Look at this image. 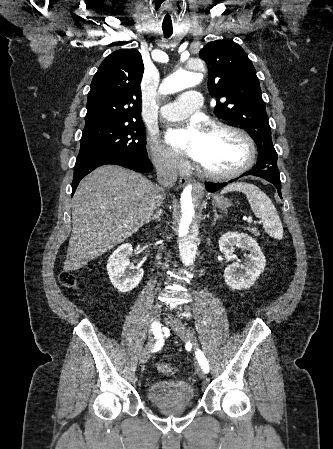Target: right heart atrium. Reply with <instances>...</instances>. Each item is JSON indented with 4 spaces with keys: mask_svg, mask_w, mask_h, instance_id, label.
Segmentation results:
<instances>
[{
    "mask_svg": "<svg viewBox=\"0 0 333 449\" xmlns=\"http://www.w3.org/2000/svg\"><path fill=\"white\" fill-rule=\"evenodd\" d=\"M149 150L155 167L165 173L179 174L186 167L183 159L154 138L149 139Z\"/></svg>",
    "mask_w": 333,
    "mask_h": 449,
    "instance_id": "obj_1",
    "label": "right heart atrium"
}]
</instances>
